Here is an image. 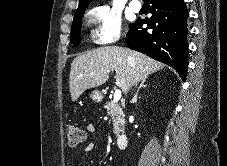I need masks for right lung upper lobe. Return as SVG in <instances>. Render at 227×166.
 Instances as JSON below:
<instances>
[{"instance_id":"right-lung-upper-lobe-1","label":"right lung upper lobe","mask_w":227,"mask_h":166,"mask_svg":"<svg viewBox=\"0 0 227 166\" xmlns=\"http://www.w3.org/2000/svg\"><path fill=\"white\" fill-rule=\"evenodd\" d=\"M92 0H79V6L77 8L78 9H86V7L88 6V4L91 2ZM145 1V0H144Z\"/></svg>"}]
</instances>
